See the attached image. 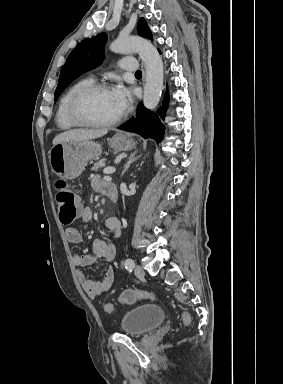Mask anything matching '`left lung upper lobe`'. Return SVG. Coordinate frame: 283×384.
<instances>
[{
	"label": "left lung upper lobe",
	"instance_id": "obj_1",
	"mask_svg": "<svg viewBox=\"0 0 283 384\" xmlns=\"http://www.w3.org/2000/svg\"><path fill=\"white\" fill-rule=\"evenodd\" d=\"M137 32L144 38L152 39L151 31L144 18L139 20ZM106 41V33H100L92 38L83 40L72 50L61 70L58 86L55 91V100L73 80L97 67L102 62L104 57L103 46Z\"/></svg>",
	"mask_w": 283,
	"mask_h": 384
}]
</instances>
